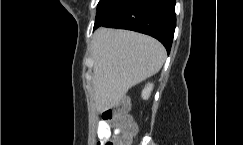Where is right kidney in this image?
I'll use <instances>...</instances> for the list:
<instances>
[{
  "label": "right kidney",
  "instance_id": "obj_1",
  "mask_svg": "<svg viewBox=\"0 0 243 145\" xmlns=\"http://www.w3.org/2000/svg\"><path fill=\"white\" fill-rule=\"evenodd\" d=\"M152 90L153 84L148 83L142 91V98L145 100L148 99Z\"/></svg>",
  "mask_w": 243,
  "mask_h": 145
}]
</instances>
